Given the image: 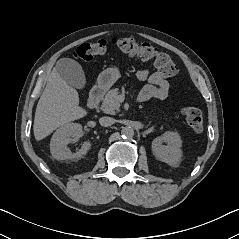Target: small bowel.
<instances>
[{
	"label": "small bowel",
	"instance_id": "c3829d8e",
	"mask_svg": "<svg viewBox=\"0 0 239 239\" xmlns=\"http://www.w3.org/2000/svg\"><path fill=\"white\" fill-rule=\"evenodd\" d=\"M136 77L141 81L148 82L139 94L140 101H147L152 98L163 100L169 95L170 84L159 72L140 69L136 72Z\"/></svg>",
	"mask_w": 239,
	"mask_h": 239
}]
</instances>
